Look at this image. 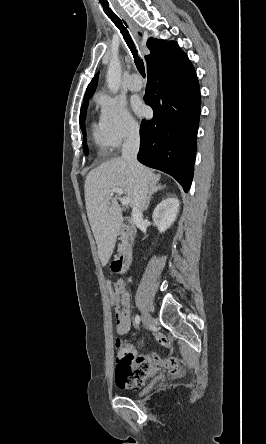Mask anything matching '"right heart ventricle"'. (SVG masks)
Masks as SVG:
<instances>
[{
    "label": "right heart ventricle",
    "mask_w": 266,
    "mask_h": 444,
    "mask_svg": "<svg viewBox=\"0 0 266 444\" xmlns=\"http://www.w3.org/2000/svg\"><path fill=\"white\" fill-rule=\"evenodd\" d=\"M92 136H93V140H94L95 144L100 149V151L103 154H108L109 145L106 142V140H105V138H104V136L102 134L100 125L93 124V126H92Z\"/></svg>",
    "instance_id": "e07e8e85"
}]
</instances>
